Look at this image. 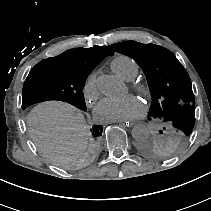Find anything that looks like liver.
Returning a JSON list of instances; mask_svg holds the SVG:
<instances>
[{
	"instance_id": "obj_1",
	"label": "liver",
	"mask_w": 211,
	"mask_h": 211,
	"mask_svg": "<svg viewBox=\"0 0 211 211\" xmlns=\"http://www.w3.org/2000/svg\"><path fill=\"white\" fill-rule=\"evenodd\" d=\"M27 126L38 149L53 161L73 163L86 149L89 126L82 112L68 103H39L27 116Z\"/></svg>"
}]
</instances>
